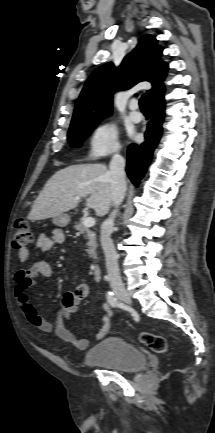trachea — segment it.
<instances>
[{
    "label": "trachea",
    "instance_id": "trachea-1",
    "mask_svg": "<svg viewBox=\"0 0 215 433\" xmlns=\"http://www.w3.org/2000/svg\"><path fill=\"white\" fill-rule=\"evenodd\" d=\"M139 106H140V109L142 111H149L150 110L148 102H147V96H146V94H143L142 97L140 98V100H139Z\"/></svg>",
    "mask_w": 215,
    "mask_h": 433
}]
</instances>
